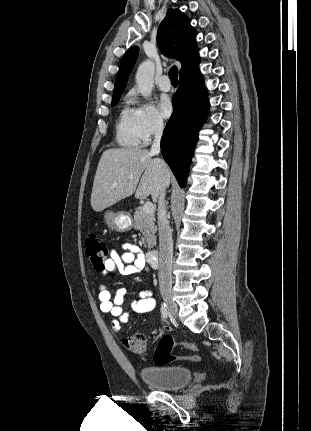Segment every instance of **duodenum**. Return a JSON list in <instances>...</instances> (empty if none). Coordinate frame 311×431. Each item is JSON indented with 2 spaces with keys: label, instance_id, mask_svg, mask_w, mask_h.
<instances>
[{
  "label": "duodenum",
  "instance_id": "obj_1",
  "mask_svg": "<svg viewBox=\"0 0 311 431\" xmlns=\"http://www.w3.org/2000/svg\"><path fill=\"white\" fill-rule=\"evenodd\" d=\"M149 263L153 267H157L159 264V251L157 249H151L147 253Z\"/></svg>",
  "mask_w": 311,
  "mask_h": 431
}]
</instances>
